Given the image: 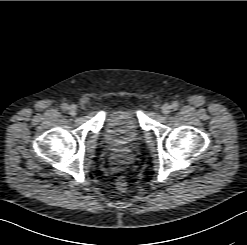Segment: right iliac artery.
Returning a JSON list of instances; mask_svg holds the SVG:
<instances>
[{"mask_svg":"<svg viewBox=\"0 0 247 245\" xmlns=\"http://www.w3.org/2000/svg\"><path fill=\"white\" fill-rule=\"evenodd\" d=\"M68 104H66V103H63L62 105H61V109L63 110V111H66V110H68Z\"/></svg>","mask_w":247,"mask_h":245,"instance_id":"right-iliac-artery-1","label":"right iliac artery"}]
</instances>
